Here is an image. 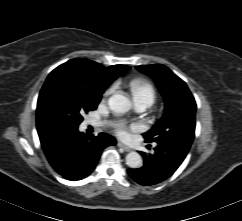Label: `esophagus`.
<instances>
[{
	"label": "esophagus",
	"instance_id": "esophagus-1",
	"mask_svg": "<svg viewBox=\"0 0 242 221\" xmlns=\"http://www.w3.org/2000/svg\"><path fill=\"white\" fill-rule=\"evenodd\" d=\"M117 145H118V147L124 149L126 152H130V151H132V149H131L130 147L124 145V144L121 143V142H118Z\"/></svg>",
	"mask_w": 242,
	"mask_h": 221
}]
</instances>
